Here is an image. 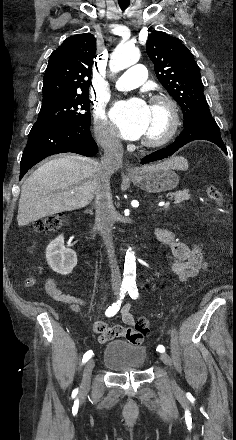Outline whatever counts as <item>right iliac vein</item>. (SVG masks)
Returning <instances> with one entry per match:
<instances>
[{
  "mask_svg": "<svg viewBox=\"0 0 236 440\" xmlns=\"http://www.w3.org/2000/svg\"><path fill=\"white\" fill-rule=\"evenodd\" d=\"M94 366H95V361L91 359L87 362V364L84 367L82 383H81V389L83 391L88 390L90 387V379Z\"/></svg>",
  "mask_w": 236,
  "mask_h": 440,
  "instance_id": "right-iliac-vein-1",
  "label": "right iliac vein"
}]
</instances>
